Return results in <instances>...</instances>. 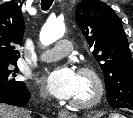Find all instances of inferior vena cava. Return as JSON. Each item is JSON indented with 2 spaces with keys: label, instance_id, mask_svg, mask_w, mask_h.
Masks as SVG:
<instances>
[{
  "label": "inferior vena cava",
  "instance_id": "1",
  "mask_svg": "<svg viewBox=\"0 0 133 118\" xmlns=\"http://www.w3.org/2000/svg\"><path fill=\"white\" fill-rule=\"evenodd\" d=\"M41 95H42L43 97H45V96H46V93H42Z\"/></svg>",
  "mask_w": 133,
  "mask_h": 118
}]
</instances>
